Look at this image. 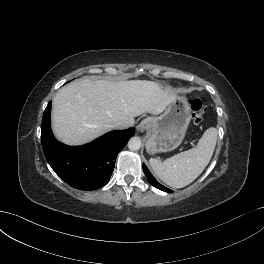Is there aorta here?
Listing matches in <instances>:
<instances>
[{
	"mask_svg": "<svg viewBox=\"0 0 264 264\" xmlns=\"http://www.w3.org/2000/svg\"><path fill=\"white\" fill-rule=\"evenodd\" d=\"M141 147V140L139 137H132L128 142V148L132 151H137Z\"/></svg>",
	"mask_w": 264,
	"mask_h": 264,
	"instance_id": "aorta-1",
	"label": "aorta"
}]
</instances>
